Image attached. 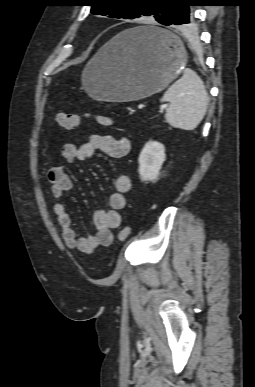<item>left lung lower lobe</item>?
<instances>
[{"mask_svg": "<svg viewBox=\"0 0 255 387\" xmlns=\"http://www.w3.org/2000/svg\"><path fill=\"white\" fill-rule=\"evenodd\" d=\"M197 4H194V0H186L183 2H180L176 5L174 9V13L170 20L166 22L163 25L169 26V25H184L188 26L191 25L193 22V15L192 11L190 9V6H195ZM140 35L144 38L157 41L162 39V34L158 31L149 30L140 33Z\"/></svg>", "mask_w": 255, "mask_h": 387, "instance_id": "obj_1", "label": "left lung lower lobe"}]
</instances>
